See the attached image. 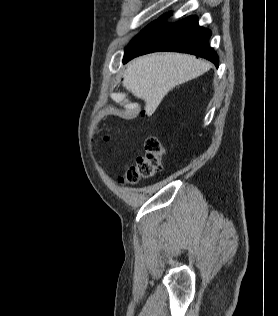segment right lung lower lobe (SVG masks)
Returning a JSON list of instances; mask_svg holds the SVG:
<instances>
[{"label":"right lung lower lobe","mask_w":278,"mask_h":316,"mask_svg":"<svg viewBox=\"0 0 278 316\" xmlns=\"http://www.w3.org/2000/svg\"><path fill=\"white\" fill-rule=\"evenodd\" d=\"M161 16L131 48L125 51L123 63L136 56L156 51H175L194 54L213 62L218 67V56L209 46L211 31L198 25L197 16H189L169 24Z\"/></svg>","instance_id":"obj_1"}]
</instances>
